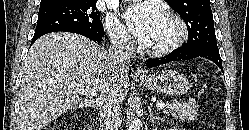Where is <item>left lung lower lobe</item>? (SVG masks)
Masks as SVG:
<instances>
[{
	"instance_id": "obj_1",
	"label": "left lung lower lobe",
	"mask_w": 249,
	"mask_h": 130,
	"mask_svg": "<svg viewBox=\"0 0 249 130\" xmlns=\"http://www.w3.org/2000/svg\"><path fill=\"white\" fill-rule=\"evenodd\" d=\"M196 57H204L213 61L223 72L222 61L218 48L208 46L180 47L165 56L163 59L147 61V65L149 67H155L173 61L189 60Z\"/></svg>"
}]
</instances>
